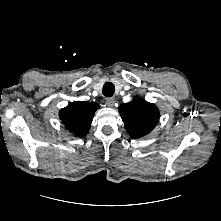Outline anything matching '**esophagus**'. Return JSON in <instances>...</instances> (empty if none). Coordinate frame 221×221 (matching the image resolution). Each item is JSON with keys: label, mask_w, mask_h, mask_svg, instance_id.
Returning <instances> with one entry per match:
<instances>
[{"label": "esophagus", "mask_w": 221, "mask_h": 221, "mask_svg": "<svg viewBox=\"0 0 221 221\" xmlns=\"http://www.w3.org/2000/svg\"><path fill=\"white\" fill-rule=\"evenodd\" d=\"M115 104V100L113 98H106V105L109 107H113Z\"/></svg>", "instance_id": "esophagus-1"}]
</instances>
